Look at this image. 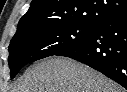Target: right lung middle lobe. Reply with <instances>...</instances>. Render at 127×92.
<instances>
[{
	"label": "right lung middle lobe",
	"mask_w": 127,
	"mask_h": 92,
	"mask_svg": "<svg viewBox=\"0 0 127 92\" xmlns=\"http://www.w3.org/2000/svg\"><path fill=\"white\" fill-rule=\"evenodd\" d=\"M94 25L71 24L41 27L13 37L9 45L8 63L14 78L26 64L56 55L89 38Z\"/></svg>",
	"instance_id": "obj_1"
}]
</instances>
